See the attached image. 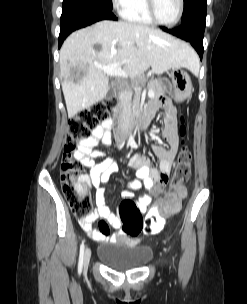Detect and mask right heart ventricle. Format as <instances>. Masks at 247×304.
Returning a JSON list of instances; mask_svg holds the SVG:
<instances>
[{
    "label": "right heart ventricle",
    "instance_id": "e07e8e85",
    "mask_svg": "<svg viewBox=\"0 0 247 304\" xmlns=\"http://www.w3.org/2000/svg\"><path fill=\"white\" fill-rule=\"evenodd\" d=\"M123 17L140 24H152L153 21L148 15L145 0H133L131 4L122 12Z\"/></svg>",
    "mask_w": 247,
    "mask_h": 304
}]
</instances>
